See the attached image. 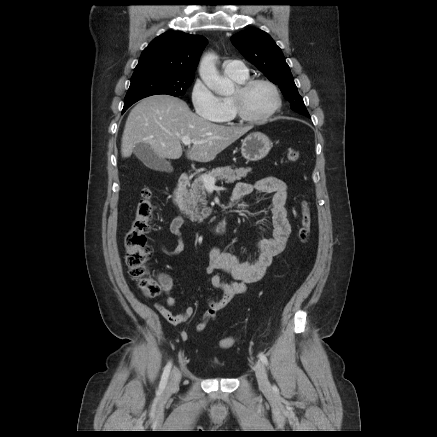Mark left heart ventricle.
<instances>
[{
  "label": "left heart ventricle",
  "mask_w": 437,
  "mask_h": 437,
  "mask_svg": "<svg viewBox=\"0 0 437 437\" xmlns=\"http://www.w3.org/2000/svg\"><path fill=\"white\" fill-rule=\"evenodd\" d=\"M237 93V89L234 94ZM275 103V97L270 87L258 84L252 87L244 96L243 106L248 115L260 117L267 114Z\"/></svg>",
  "instance_id": "obj_1"
}]
</instances>
